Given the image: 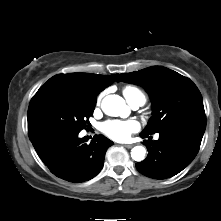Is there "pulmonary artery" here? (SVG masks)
Returning <instances> with one entry per match:
<instances>
[{
	"mask_svg": "<svg viewBox=\"0 0 221 221\" xmlns=\"http://www.w3.org/2000/svg\"><path fill=\"white\" fill-rule=\"evenodd\" d=\"M129 104L133 109H137L140 106H142L144 104V102L142 100L138 99V100L130 102Z\"/></svg>",
	"mask_w": 221,
	"mask_h": 221,
	"instance_id": "obj_1",
	"label": "pulmonary artery"
}]
</instances>
